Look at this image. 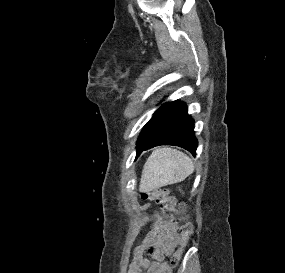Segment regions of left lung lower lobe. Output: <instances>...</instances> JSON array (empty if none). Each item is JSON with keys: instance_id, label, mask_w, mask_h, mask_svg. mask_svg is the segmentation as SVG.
Masks as SVG:
<instances>
[{"instance_id": "obj_1", "label": "left lung lower lobe", "mask_w": 285, "mask_h": 273, "mask_svg": "<svg viewBox=\"0 0 285 273\" xmlns=\"http://www.w3.org/2000/svg\"><path fill=\"white\" fill-rule=\"evenodd\" d=\"M158 145L179 146L196 155L194 120L183 102L165 103L153 114L138 138L136 158L141 151Z\"/></svg>"}]
</instances>
